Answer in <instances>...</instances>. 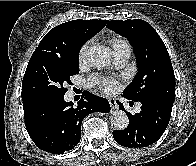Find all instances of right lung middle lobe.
I'll return each mask as SVG.
<instances>
[{"instance_id": "1", "label": "right lung middle lobe", "mask_w": 196, "mask_h": 166, "mask_svg": "<svg viewBox=\"0 0 196 166\" xmlns=\"http://www.w3.org/2000/svg\"><path fill=\"white\" fill-rule=\"evenodd\" d=\"M79 54L60 57L34 51L22 81V100L36 97H62L71 85L70 76L79 73Z\"/></svg>"}]
</instances>
